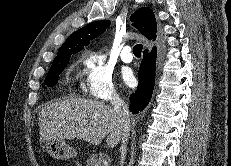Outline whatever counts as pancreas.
I'll return each instance as SVG.
<instances>
[{
  "label": "pancreas",
  "instance_id": "cf45deb5",
  "mask_svg": "<svg viewBox=\"0 0 231 166\" xmlns=\"http://www.w3.org/2000/svg\"><path fill=\"white\" fill-rule=\"evenodd\" d=\"M86 166H103V159L97 154H92L87 159Z\"/></svg>",
  "mask_w": 231,
  "mask_h": 166
}]
</instances>
